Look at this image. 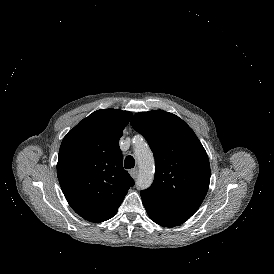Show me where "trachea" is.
I'll return each mask as SVG.
<instances>
[{
    "instance_id": "obj_1",
    "label": "trachea",
    "mask_w": 274,
    "mask_h": 274,
    "mask_svg": "<svg viewBox=\"0 0 274 274\" xmlns=\"http://www.w3.org/2000/svg\"><path fill=\"white\" fill-rule=\"evenodd\" d=\"M135 166V159L133 156H127L124 161V167L126 169H131Z\"/></svg>"
}]
</instances>
